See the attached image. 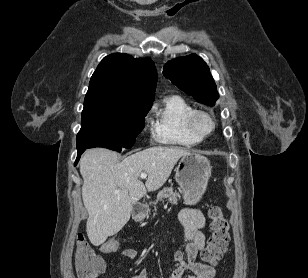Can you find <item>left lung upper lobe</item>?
<instances>
[{"instance_id":"1","label":"left lung upper lobe","mask_w":308,"mask_h":278,"mask_svg":"<svg viewBox=\"0 0 308 278\" xmlns=\"http://www.w3.org/2000/svg\"><path fill=\"white\" fill-rule=\"evenodd\" d=\"M163 74L198 102L213 106L219 97L209 67L196 54L170 61Z\"/></svg>"}]
</instances>
